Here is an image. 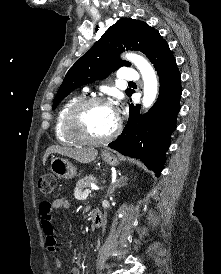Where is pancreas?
<instances>
[{
    "instance_id": "obj_1",
    "label": "pancreas",
    "mask_w": 221,
    "mask_h": 274,
    "mask_svg": "<svg viewBox=\"0 0 221 274\" xmlns=\"http://www.w3.org/2000/svg\"><path fill=\"white\" fill-rule=\"evenodd\" d=\"M91 182H97L93 176H86L79 179L76 183V195H81L82 191L89 187Z\"/></svg>"
}]
</instances>
